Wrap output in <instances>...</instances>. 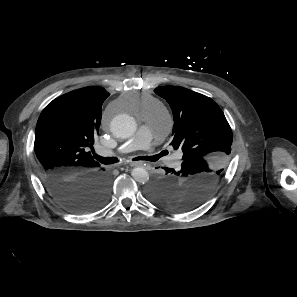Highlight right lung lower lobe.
Returning <instances> with one entry per match:
<instances>
[{"instance_id": "98d812e1", "label": "right lung lower lobe", "mask_w": 297, "mask_h": 297, "mask_svg": "<svg viewBox=\"0 0 297 297\" xmlns=\"http://www.w3.org/2000/svg\"><path fill=\"white\" fill-rule=\"evenodd\" d=\"M41 176L49 195L70 212H91L107 200L110 179L103 169L74 176L61 171L41 172Z\"/></svg>"}]
</instances>
